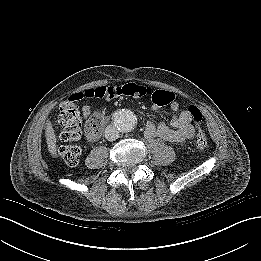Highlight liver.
<instances>
[{
    "mask_svg": "<svg viewBox=\"0 0 261 261\" xmlns=\"http://www.w3.org/2000/svg\"><path fill=\"white\" fill-rule=\"evenodd\" d=\"M45 136H46V143L49 153L55 157L56 156V136L54 133V129L51 125L50 121H47L45 127Z\"/></svg>",
    "mask_w": 261,
    "mask_h": 261,
    "instance_id": "liver-1",
    "label": "liver"
}]
</instances>
